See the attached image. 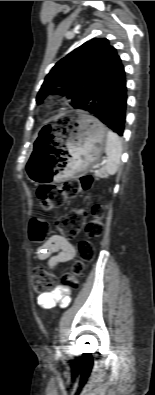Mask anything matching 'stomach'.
Returning <instances> with one entry per match:
<instances>
[{"label": "stomach", "instance_id": "0dacf381", "mask_svg": "<svg viewBox=\"0 0 155 395\" xmlns=\"http://www.w3.org/2000/svg\"><path fill=\"white\" fill-rule=\"evenodd\" d=\"M66 130L59 135L52 153L35 147L26 164V174L33 183L76 177L97 162L107 142V130L85 111L66 114Z\"/></svg>", "mask_w": 155, "mask_h": 395}]
</instances>
